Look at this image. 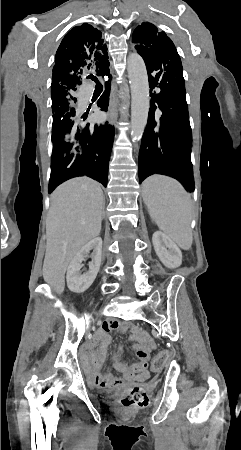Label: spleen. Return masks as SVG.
Returning <instances> with one entry per match:
<instances>
[{"label":"spleen","instance_id":"1","mask_svg":"<svg viewBox=\"0 0 241 450\" xmlns=\"http://www.w3.org/2000/svg\"><path fill=\"white\" fill-rule=\"evenodd\" d=\"M142 198L158 228L179 248L189 250L193 238L190 228L191 198L182 184L168 176H150L142 184Z\"/></svg>","mask_w":241,"mask_h":450}]
</instances>
